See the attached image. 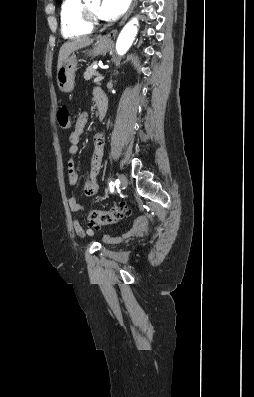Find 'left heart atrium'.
I'll return each mask as SVG.
<instances>
[{
  "mask_svg": "<svg viewBox=\"0 0 254 397\" xmlns=\"http://www.w3.org/2000/svg\"><path fill=\"white\" fill-rule=\"evenodd\" d=\"M130 1L131 0H102L99 13L105 19H116L126 11Z\"/></svg>",
  "mask_w": 254,
  "mask_h": 397,
  "instance_id": "obj_1",
  "label": "left heart atrium"
}]
</instances>
